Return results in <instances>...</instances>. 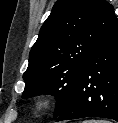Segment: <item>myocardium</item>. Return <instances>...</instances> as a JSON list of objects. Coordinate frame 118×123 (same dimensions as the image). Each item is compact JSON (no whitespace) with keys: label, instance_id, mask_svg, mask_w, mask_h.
Returning <instances> with one entry per match:
<instances>
[{"label":"myocardium","instance_id":"1","mask_svg":"<svg viewBox=\"0 0 118 123\" xmlns=\"http://www.w3.org/2000/svg\"><path fill=\"white\" fill-rule=\"evenodd\" d=\"M54 95L51 92H43L37 95L33 101V110L37 114H47L53 107Z\"/></svg>","mask_w":118,"mask_h":123}]
</instances>
